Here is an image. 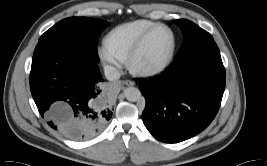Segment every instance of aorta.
<instances>
[{
    "label": "aorta",
    "mask_w": 267,
    "mask_h": 166,
    "mask_svg": "<svg viewBox=\"0 0 267 166\" xmlns=\"http://www.w3.org/2000/svg\"><path fill=\"white\" fill-rule=\"evenodd\" d=\"M141 92L136 87H129L125 90V97L128 101L136 102L141 99Z\"/></svg>",
    "instance_id": "1"
}]
</instances>
